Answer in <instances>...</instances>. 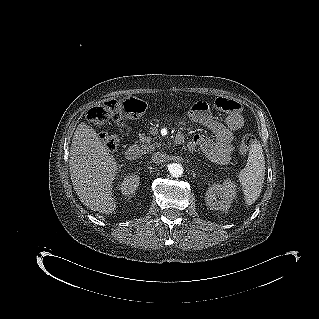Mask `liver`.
I'll list each match as a JSON object with an SVG mask.
<instances>
[{
  "mask_svg": "<svg viewBox=\"0 0 319 319\" xmlns=\"http://www.w3.org/2000/svg\"><path fill=\"white\" fill-rule=\"evenodd\" d=\"M117 171L115 158L96 131L80 123L72 138L69 172L81 202L99 213L110 214L115 211L111 187Z\"/></svg>",
  "mask_w": 319,
  "mask_h": 319,
  "instance_id": "obj_1",
  "label": "liver"
}]
</instances>
